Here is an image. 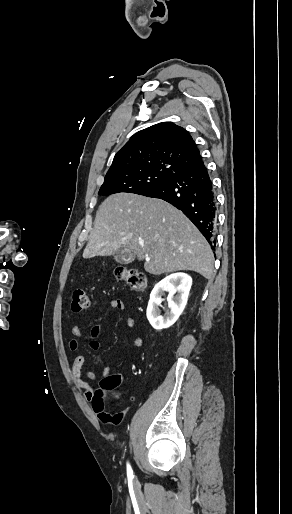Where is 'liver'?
<instances>
[{
    "instance_id": "1",
    "label": "liver",
    "mask_w": 292,
    "mask_h": 514,
    "mask_svg": "<svg viewBox=\"0 0 292 514\" xmlns=\"http://www.w3.org/2000/svg\"><path fill=\"white\" fill-rule=\"evenodd\" d=\"M118 248H128L138 260L148 258L144 268L156 276L193 270L210 280L213 274L214 256L204 236L180 210L157 198L122 192L102 202L83 258L111 256Z\"/></svg>"
}]
</instances>
